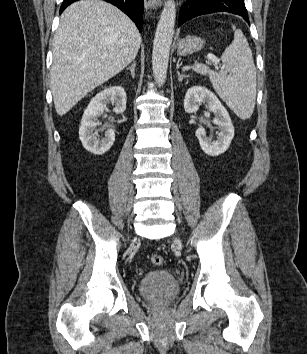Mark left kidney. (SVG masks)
I'll use <instances>...</instances> for the list:
<instances>
[{
    "mask_svg": "<svg viewBox=\"0 0 307 354\" xmlns=\"http://www.w3.org/2000/svg\"><path fill=\"white\" fill-rule=\"evenodd\" d=\"M201 103L205 104L209 111L214 113L213 123L218 126V136L217 140L212 141L207 137L203 127H199L195 135L206 154L213 157L218 156L224 153L230 146L234 137V127L229 113L212 91L202 86L189 88L184 99L185 111L187 113H194L199 109Z\"/></svg>",
    "mask_w": 307,
    "mask_h": 354,
    "instance_id": "obj_1",
    "label": "left kidney"
}]
</instances>
